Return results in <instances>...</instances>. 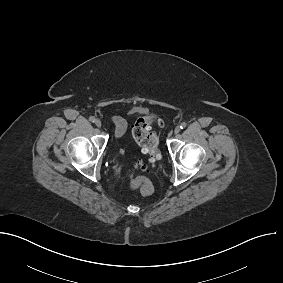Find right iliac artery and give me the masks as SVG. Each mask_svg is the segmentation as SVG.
<instances>
[{
  "mask_svg": "<svg viewBox=\"0 0 283 283\" xmlns=\"http://www.w3.org/2000/svg\"><path fill=\"white\" fill-rule=\"evenodd\" d=\"M89 120L94 123L96 121V118L94 116H91Z\"/></svg>",
  "mask_w": 283,
  "mask_h": 283,
  "instance_id": "1",
  "label": "right iliac artery"
}]
</instances>
